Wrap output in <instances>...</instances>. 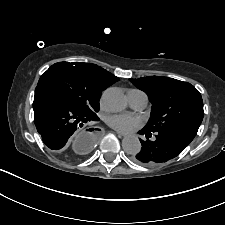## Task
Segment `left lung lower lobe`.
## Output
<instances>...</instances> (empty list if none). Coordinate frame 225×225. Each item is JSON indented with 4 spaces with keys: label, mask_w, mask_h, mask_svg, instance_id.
Segmentation results:
<instances>
[{
    "label": "left lung lower lobe",
    "mask_w": 225,
    "mask_h": 225,
    "mask_svg": "<svg viewBox=\"0 0 225 225\" xmlns=\"http://www.w3.org/2000/svg\"><path fill=\"white\" fill-rule=\"evenodd\" d=\"M199 129L198 125H182L160 132H151L143 128L139 131L147 140L140 139L142 148L134 156L140 164L156 166L178 156L194 139ZM155 135V139L149 138Z\"/></svg>",
    "instance_id": "1"
}]
</instances>
